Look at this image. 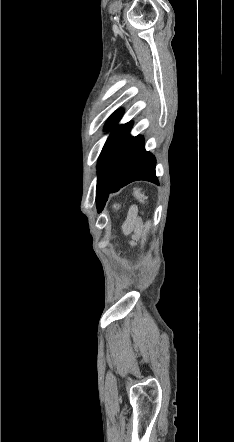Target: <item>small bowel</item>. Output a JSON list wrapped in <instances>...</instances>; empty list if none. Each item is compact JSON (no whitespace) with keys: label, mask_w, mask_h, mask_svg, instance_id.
<instances>
[{"label":"small bowel","mask_w":234,"mask_h":442,"mask_svg":"<svg viewBox=\"0 0 234 442\" xmlns=\"http://www.w3.org/2000/svg\"><path fill=\"white\" fill-rule=\"evenodd\" d=\"M140 226L139 211L136 206H131L128 210L126 220L123 224V231L125 234L137 232Z\"/></svg>","instance_id":"obj_1"}]
</instances>
